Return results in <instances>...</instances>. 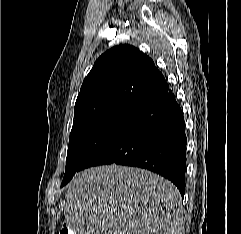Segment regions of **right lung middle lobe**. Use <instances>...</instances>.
Instances as JSON below:
<instances>
[{"instance_id":"right-lung-middle-lobe-1","label":"right lung middle lobe","mask_w":241,"mask_h":234,"mask_svg":"<svg viewBox=\"0 0 241 234\" xmlns=\"http://www.w3.org/2000/svg\"><path fill=\"white\" fill-rule=\"evenodd\" d=\"M136 106L134 103L112 101L74 111L66 158V170L61 187L81 170L88 153Z\"/></svg>"}]
</instances>
